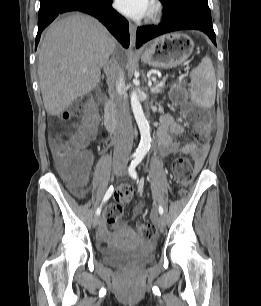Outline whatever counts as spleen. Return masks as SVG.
I'll use <instances>...</instances> for the list:
<instances>
[{
  "instance_id": "3e777b00",
  "label": "spleen",
  "mask_w": 261,
  "mask_h": 306,
  "mask_svg": "<svg viewBox=\"0 0 261 306\" xmlns=\"http://www.w3.org/2000/svg\"><path fill=\"white\" fill-rule=\"evenodd\" d=\"M191 96L204 108H210L215 103V71L212 60L207 56L191 72Z\"/></svg>"
}]
</instances>
